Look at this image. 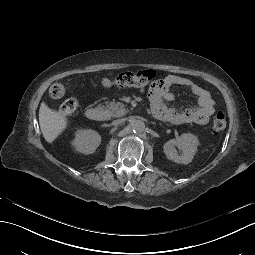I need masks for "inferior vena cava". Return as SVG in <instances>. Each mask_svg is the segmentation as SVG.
Here are the masks:
<instances>
[{
  "instance_id": "obj_1",
  "label": "inferior vena cava",
  "mask_w": 255,
  "mask_h": 255,
  "mask_svg": "<svg viewBox=\"0 0 255 255\" xmlns=\"http://www.w3.org/2000/svg\"><path fill=\"white\" fill-rule=\"evenodd\" d=\"M121 123V120H115L112 122V125L116 126L119 125Z\"/></svg>"
}]
</instances>
